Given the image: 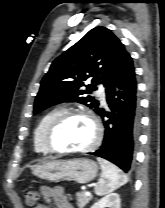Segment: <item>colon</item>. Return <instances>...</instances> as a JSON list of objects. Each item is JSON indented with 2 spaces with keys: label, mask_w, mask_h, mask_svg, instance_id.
<instances>
[{
  "label": "colon",
  "mask_w": 165,
  "mask_h": 208,
  "mask_svg": "<svg viewBox=\"0 0 165 208\" xmlns=\"http://www.w3.org/2000/svg\"><path fill=\"white\" fill-rule=\"evenodd\" d=\"M24 196H25L26 203L29 206H33L36 204L38 195L33 189H26L24 191Z\"/></svg>",
  "instance_id": "1"
}]
</instances>
